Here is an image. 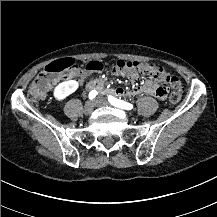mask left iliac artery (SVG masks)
Here are the masks:
<instances>
[{"instance_id":"1","label":"left iliac artery","mask_w":217,"mask_h":217,"mask_svg":"<svg viewBox=\"0 0 217 217\" xmlns=\"http://www.w3.org/2000/svg\"><path fill=\"white\" fill-rule=\"evenodd\" d=\"M108 101L116 106V107H119V108H122V109H125V110H131L133 109V105L128 103V102H125L123 100H119L113 96H108Z\"/></svg>"}]
</instances>
